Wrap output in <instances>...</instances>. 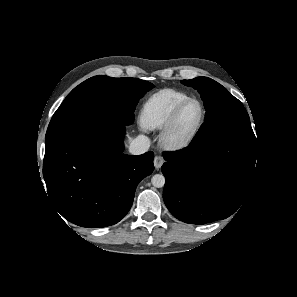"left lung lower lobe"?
Wrapping results in <instances>:
<instances>
[{
    "instance_id": "1",
    "label": "left lung lower lobe",
    "mask_w": 297,
    "mask_h": 297,
    "mask_svg": "<svg viewBox=\"0 0 297 297\" xmlns=\"http://www.w3.org/2000/svg\"><path fill=\"white\" fill-rule=\"evenodd\" d=\"M163 157L164 202L174 217L190 224L235 213L246 201L257 170L255 144L230 136L192 141Z\"/></svg>"
}]
</instances>
